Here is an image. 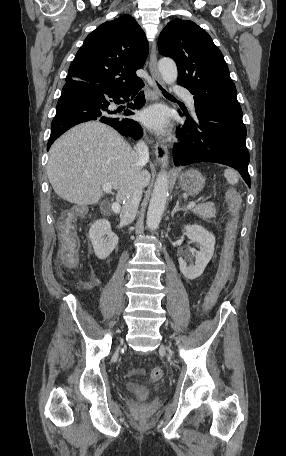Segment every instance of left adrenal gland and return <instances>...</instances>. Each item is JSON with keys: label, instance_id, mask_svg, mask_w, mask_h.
<instances>
[{"label": "left adrenal gland", "instance_id": "a2214340", "mask_svg": "<svg viewBox=\"0 0 286 456\" xmlns=\"http://www.w3.org/2000/svg\"><path fill=\"white\" fill-rule=\"evenodd\" d=\"M179 201H180V199L177 200L176 205H175L174 209H173L172 212H171V217H173L174 214H175L176 212H178V211H186V209H185L184 207H179Z\"/></svg>", "mask_w": 286, "mask_h": 456}]
</instances>
